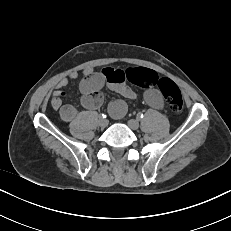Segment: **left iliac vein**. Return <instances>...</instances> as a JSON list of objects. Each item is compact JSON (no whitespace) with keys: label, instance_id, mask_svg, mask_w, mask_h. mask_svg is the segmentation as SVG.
<instances>
[{"label":"left iliac vein","instance_id":"4c4485c4","mask_svg":"<svg viewBox=\"0 0 231 231\" xmlns=\"http://www.w3.org/2000/svg\"><path fill=\"white\" fill-rule=\"evenodd\" d=\"M127 123L132 130H137L139 128V123L135 119H129Z\"/></svg>","mask_w":231,"mask_h":231}]
</instances>
